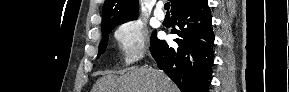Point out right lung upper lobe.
Listing matches in <instances>:
<instances>
[{
  "mask_svg": "<svg viewBox=\"0 0 289 92\" xmlns=\"http://www.w3.org/2000/svg\"><path fill=\"white\" fill-rule=\"evenodd\" d=\"M200 0H171V13L196 5ZM138 16V0H105L102 9V29Z\"/></svg>",
  "mask_w": 289,
  "mask_h": 92,
  "instance_id": "obj_1",
  "label": "right lung upper lobe"
}]
</instances>
